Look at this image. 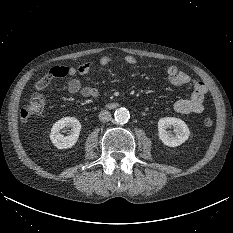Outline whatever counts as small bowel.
Returning <instances> with one entry per match:
<instances>
[{
    "label": "small bowel",
    "mask_w": 233,
    "mask_h": 233,
    "mask_svg": "<svg viewBox=\"0 0 233 233\" xmlns=\"http://www.w3.org/2000/svg\"><path fill=\"white\" fill-rule=\"evenodd\" d=\"M110 55H103L98 60H89L75 67L55 66L49 72L39 79L35 84V89H45L52 80L62 77H71L68 82L67 89L71 94H80L85 98L96 99L99 91L90 86H82L81 81L76 77L77 74L85 75L89 73L96 65L105 67L112 62ZM125 62L129 65H135L137 59L133 55H127ZM166 73L170 83L176 87H183L192 84V94L188 98L179 99L174 102L173 109L179 114L201 113L204 110V96L207 92L205 83L193 80L187 73L179 70L176 66L171 65L166 69Z\"/></svg>",
    "instance_id": "small-bowel-1"
}]
</instances>
